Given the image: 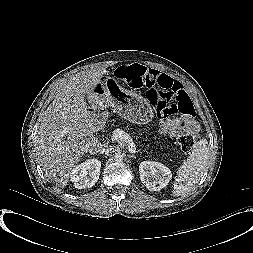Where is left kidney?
I'll list each match as a JSON object with an SVG mask.
<instances>
[{
    "label": "left kidney",
    "instance_id": "obj_1",
    "mask_svg": "<svg viewBox=\"0 0 253 253\" xmlns=\"http://www.w3.org/2000/svg\"><path fill=\"white\" fill-rule=\"evenodd\" d=\"M139 174L142 183L150 191L163 189L172 178L168 167L160 162L143 161L139 165Z\"/></svg>",
    "mask_w": 253,
    "mask_h": 253
}]
</instances>
